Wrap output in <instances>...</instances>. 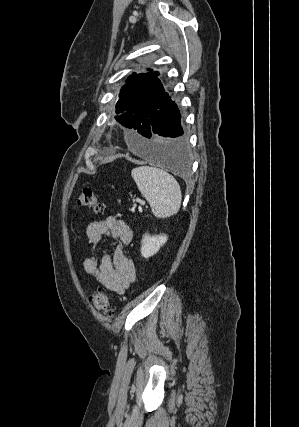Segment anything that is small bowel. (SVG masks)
<instances>
[{"mask_svg":"<svg viewBox=\"0 0 299 427\" xmlns=\"http://www.w3.org/2000/svg\"><path fill=\"white\" fill-rule=\"evenodd\" d=\"M132 236L133 233L128 224L115 216L94 221L87 227V237L93 245H97L103 237L119 240L121 243V246L112 254L106 253L101 258L91 256L83 263L87 274L92 275L107 290L118 295L124 294L136 279L134 262L126 255L123 248L131 242Z\"/></svg>","mask_w":299,"mask_h":427,"instance_id":"1","label":"small bowel"}]
</instances>
